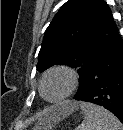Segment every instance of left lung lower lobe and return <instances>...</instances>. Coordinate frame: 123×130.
Listing matches in <instances>:
<instances>
[{"label": "left lung lower lobe", "mask_w": 123, "mask_h": 130, "mask_svg": "<svg viewBox=\"0 0 123 130\" xmlns=\"http://www.w3.org/2000/svg\"><path fill=\"white\" fill-rule=\"evenodd\" d=\"M75 100L103 106L123 122V41L120 35L94 61Z\"/></svg>", "instance_id": "0a47b994"}]
</instances>
